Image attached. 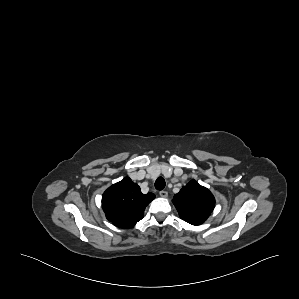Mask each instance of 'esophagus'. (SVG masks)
I'll return each mask as SVG.
<instances>
[{
  "label": "esophagus",
  "instance_id": "34e87169",
  "mask_svg": "<svg viewBox=\"0 0 299 299\" xmlns=\"http://www.w3.org/2000/svg\"><path fill=\"white\" fill-rule=\"evenodd\" d=\"M159 195H160L161 197H163V198H166V197L168 196V192L162 190V191L159 192Z\"/></svg>",
  "mask_w": 299,
  "mask_h": 299
}]
</instances>
